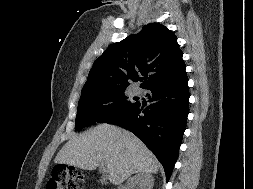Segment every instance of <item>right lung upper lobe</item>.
I'll list each match as a JSON object with an SVG mask.
<instances>
[{
    "instance_id": "1",
    "label": "right lung upper lobe",
    "mask_w": 253,
    "mask_h": 189,
    "mask_svg": "<svg viewBox=\"0 0 253 189\" xmlns=\"http://www.w3.org/2000/svg\"><path fill=\"white\" fill-rule=\"evenodd\" d=\"M177 37L167 27L149 23L134 35L109 46L95 61L82 92L108 86L128 87L145 75L141 87L186 75ZM148 75V77H147Z\"/></svg>"
}]
</instances>
